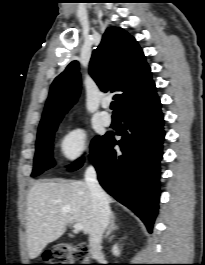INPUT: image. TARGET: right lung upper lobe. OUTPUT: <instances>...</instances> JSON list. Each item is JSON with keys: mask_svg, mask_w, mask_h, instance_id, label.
Here are the masks:
<instances>
[{"mask_svg": "<svg viewBox=\"0 0 205 265\" xmlns=\"http://www.w3.org/2000/svg\"><path fill=\"white\" fill-rule=\"evenodd\" d=\"M89 73L99 88L117 92L119 112L136 106L155 92L145 56L135 38L118 27L108 28L93 51ZM79 63L71 62L53 81L38 131L58 124L80 93Z\"/></svg>", "mask_w": 205, "mask_h": 265, "instance_id": "obj_1", "label": "right lung upper lobe"}]
</instances>
